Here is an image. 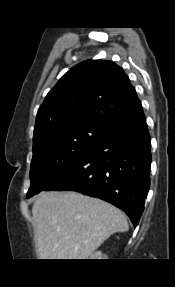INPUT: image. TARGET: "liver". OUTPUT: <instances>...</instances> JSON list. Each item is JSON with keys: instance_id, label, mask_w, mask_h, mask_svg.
I'll use <instances>...</instances> for the list:
<instances>
[{"instance_id": "liver-1", "label": "liver", "mask_w": 175, "mask_h": 287, "mask_svg": "<svg viewBox=\"0 0 175 287\" xmlns=\"http://www.w3.org/2000/svg\"><path fill=\"white\" fill-rule=\"evenodd\" d=\"M40 259H87L107 238L129 228L125 214L76 192H42L33 206Z\"/></svg>"}]
</instances>
